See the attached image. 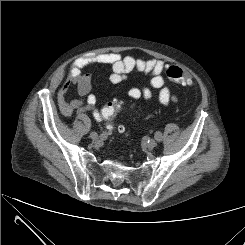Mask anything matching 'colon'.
Here are the masks:
<instances>
[{"instance_id":"1","label":"colon","mask_w":245,"mask_h":245,"mask_svg":"<svg viewBox=\"0 0 245 245\" xmlns=\"http://www.w3.org/2000/svg\"><path fill=\"white\" fill-rule=\"evenodd\" d=\"M166 75L171 81L175 83L185 85V86H190L192 84V78L189 75V73H187L185 70H183L182 68L178 66H170L166 70ZM120 107H121V103L119 101L109 102L103 108L102 115H103V118L109 121V124H108L109 130H116L117 132L121 134H125L126 130L124 126L122 125L114 126L111 122L113 116L120 109Z\"/></svg>"}]
</instances>
